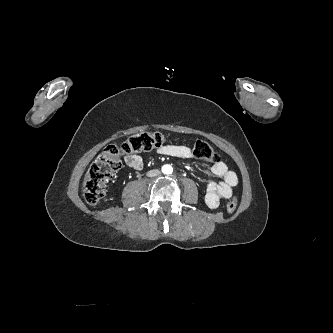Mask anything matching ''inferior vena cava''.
Wrapping results in <instances>:
<instances>
[{"mask_svg": "<svg viewBox=\"0 0 333 333\" xmlns=\"http://www.w3.org/2000/svg\"><path fill=\"white\" fill-rule=\"evenodd\" d=\"M159 174H160V171L157 170V169L150 170V171L147 172V176L148 177H155V176H157Z\"/></svg>", "mask_w": 333, "mask_h": 333, "instance_id": "inferior-vena-cava-1", "label": "inferior vena cava"}]
</instances>
